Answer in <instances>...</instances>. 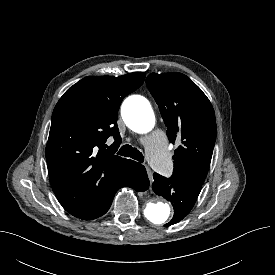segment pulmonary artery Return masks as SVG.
Here are the masks:
<instances>
[{"label": "pulmonary artery", "instance_id": "1", "mask_svg": "<svg viewBox=\"0 0 275 275\" xmlns=\"http://www.w3.org/2000/svg\"><path fill=\"white\" fill-rule=\"evenodd\" d=\"M150 164L154 169L164 175H168L171 169V162L167 154L166 137L163 132L155 131L150 136L143 138Z\"/></svg>", "mask_w": 275, "mask_h": 275}]
</instances>
